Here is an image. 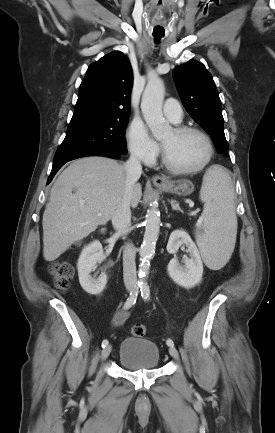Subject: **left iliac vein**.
Listing matches in <instances>:
<instances>
[{"instance_id": "left-iliac-vein-1", "label": "left iliac vein", "mask_w": 275, "mask_h": 433, "mask_svg": "<svg viewBox=\"0 0 275 433\" xmlns=\"http://www.w3.org/2000/svg\"><path fill=\"white\" fill-rule=\"evenodd\" d=\"M169 354L174 358V359H178L179 355H178V351L176 348L174 347H170L169 348Z\"/></svg>"}]
</instances>
